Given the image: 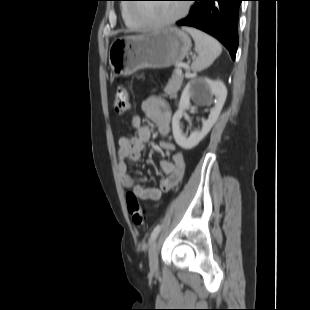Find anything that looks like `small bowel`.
I'll return each mask as SVG.
<instances>
[{"mask_svg":"<svg viewBox=\"0 0 310 310\" xmlns=\"http://www.w3.org/2000/svg\"><path fill=\"white\" fill-rule=\"evenodd\" d=\"M142 111L157 126L161 136L160 148L165 152L172 153L171 160L162 159L160 161V167L166 177L161 181L158 188H147L137 183L134 176L128 173V160L133 162L140 160L143 145L150 140L152 134L150 127L143 124L140 115H134L130 120L136 135L125 134L119 138L118 172L121 176L122 185L134 192L139 199L156 201L160 199L163 193L170 192L182 181L186 163L183 154L176 151V146L166 139L170 131L171 111L164 100L158 96H148L142 102Z\"/></svg>","mask_w":310,"mask_h":310,"instance_id":"obj_1","label":"small bowel"}]
</instances>
